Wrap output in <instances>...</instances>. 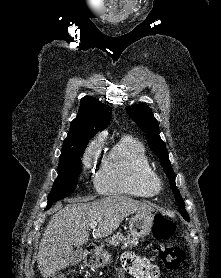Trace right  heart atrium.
Segmentation results:
<instances>
[{"label":"right heart atrium","instance_id":"d8ad5b80","mask_svg":"<svg viewBox=\"0 0 221 278\" xmlns=\"http://www.w3.org/2000/svg\"><path fill=\"white\" fill-rule=\"evenodd\" d=\"M102 145L103 138L101 136H97L88 144L82 157L86 169H91L97 164L101 156Z\"/></svg>","mask_w":221,"mask_h":278}]
</instances>
